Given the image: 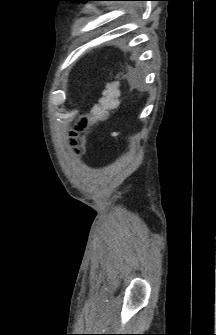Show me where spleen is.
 Instances as JSON below:
<instances>
[{"instance_id":"1","label":"spleen","mask_w":216,"mask_h":335,"mask_svg":"<svg viewBox=\"0 0 216 335\" xmlns=\"http://www.w3.org/2000/svg\"><path fill=\"white\" fill-rule=\"evenodd\" d=\"M131 82H132L133 85L137 84V80L134 77H131Z\"/></svg>"}]
</instances>
